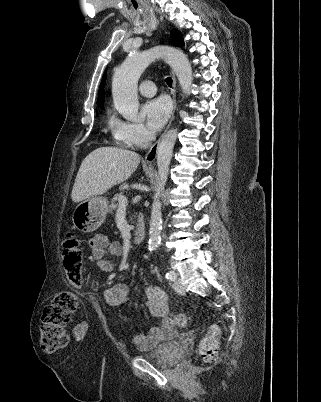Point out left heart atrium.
<instances>
[{"label": "left heart atrium", "instance_id": "1", "mask_svg": "<svg viewBox=\"0 0 321 402\" xmlns=\"http://www.w3.org/2000/svg\"><path fill=\"white\" fill-rule=\"evenodd\" d=\"M143 115L148 128L153 131H159L171 112V105L167 98L159 97L147 101L142 108Z\"/></svg>", "mask_w": 321, "mask_h": 402}]
</instances>
